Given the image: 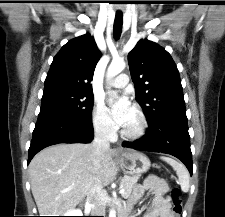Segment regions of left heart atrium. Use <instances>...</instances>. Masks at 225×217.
Returning a JSON list of instances; mask_svg holds the SVG:
<instances>
[{"mask_svg": "<svg viewBox=\"0 0 225 217\" xmlns=\"http://www.w3.org/2000/svg\"><path fill=\"white\" fill-rule=\"evenodd\" d=\"M131 104L127 96L122 95L110 105V113L115 123L124 127L130 118Z\"/></svg>", "mask_w": 225, "mask_h": 217, "instance_id": "39dd6f15", "label": "left heart atrium"}]
</instances>
